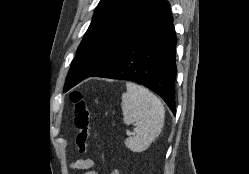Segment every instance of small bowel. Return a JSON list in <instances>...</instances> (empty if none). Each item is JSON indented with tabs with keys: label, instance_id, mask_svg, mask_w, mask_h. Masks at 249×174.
I'll list each match as a JSON object with an SVG mask.
<instances>
[{
	"label": "small bowel",
	"instance_id": "obj_1",
	"mask_svg": "<svg viewBox=\"0 0 249 174\" xmlns=\"http://www.w3.org/2000/svg\"><path fill=\"white\" fill-rule=\"evenodd\" d=\"M94 166V161L90 158L78 159L72 162L71 167L77 170H87L85 174H97V172L91 170ZM111 174H120L119 171L114 170Z\"/></svg>",
	"mask_w": 249,
	"mask_h": 174
}]
</instances>
